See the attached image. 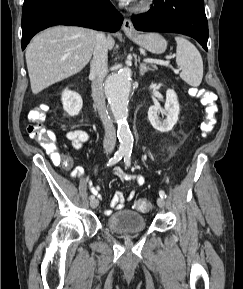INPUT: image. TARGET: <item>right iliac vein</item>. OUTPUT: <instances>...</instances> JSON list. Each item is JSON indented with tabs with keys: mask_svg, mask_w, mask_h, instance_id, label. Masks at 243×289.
I'll list each match as a JSON object with an SVG mask.
<instances>
[{
	"mask_svg": "<svg viewBox=\"0 0 243 289\" xmlns=\"http://www.w3.org/2000/svg\"><path fill=\"white\" fill-rule=\"evenodd\" d=\"M98 204H99L98 199H96V198L91 199V201H90L91 208H96L98 206Z\"/></svg>",
	"mask_w": 243,
	"mask_h": 289,
	"instance_id": "obj_1",
	"label": "right iliac vein"
}]
</instances>
